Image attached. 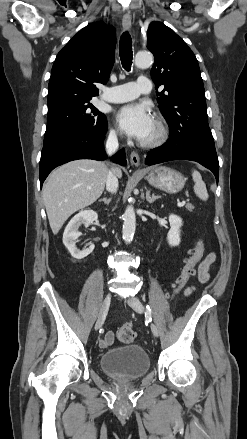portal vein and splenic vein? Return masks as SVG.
<instances>
[{"instance_id": "1", "label": "portal vein and splenic vein", "mask_w": 247, "mask_h": 439, "mask_svg": "<svg viewBox=\"0 0 247 439\" xmlns=\"http://www.w3.org/2000/svg\"><path fill=\"white\" fill-rule=\"evenodd\" d=\"M185 204H186V201L183 200V201H181V202L178 203V206H179V207H182V206H184Z\"/></svg>"}]
</instances>
